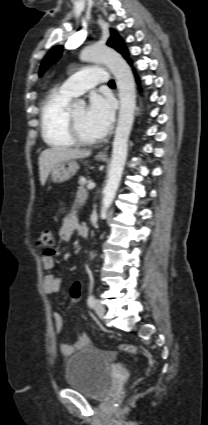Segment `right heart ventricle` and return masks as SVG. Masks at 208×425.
<instances>
[{"label":"right heart ventricle","mask_w":208,"mask_h":425,"mask_svg":"<svg viewBox=\"0 0 208 425\" xmlns=\"http://www.w3.org/2000/svg\"><path fill=\"white\" fill-rule=\"evenodd\" d=\"M73 96L62 89L51 91L40 110L41 134L47 145L53 148H70L75 142L69 133L67 114Z\"/></svg>","instance_id":"e07e8e85"}]
</instances>
